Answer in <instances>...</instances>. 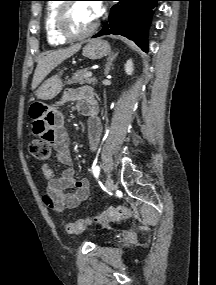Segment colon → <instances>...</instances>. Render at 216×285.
<instances>
[{
	"mask_svg": "<svg viewBox=\"0 0 216 285\" xmlns=\"http://www.w3.org/2000/svg\"><path fill=\"white\" fill-rule=\"evenodd\" d=\"M41 136L32 139L28 144L30 154L38 160L46 161L51 157V144L48 141H41ZM132 217V210L126 206L109 208L102 213L87 218H79L74 222L65 223V231L68 234H78L83 232L92 223L104 224L108 222L125 221Z\"/></svg>",
	"mask_w": 216,
	"mask_h": 285,
	"instance_id": "obj_1",
	"label": "colon"
}]
</instances>
